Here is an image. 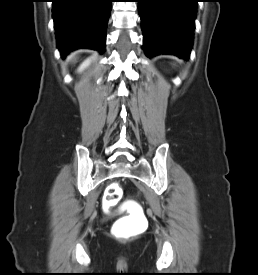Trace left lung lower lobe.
Listing matches in <instances>:
<instances>
[{"mask_svg":"<svg viewBox=\"0 0 258 275\" xmlns=\"http://www.w3.org/2000/svg\"><path fill=\"white\" fill-rule=\"evenodd\" d=\"M198 0H138L143 48L148 57L174 54L188 59Z\"/></svg>","mask_w":258,"mask_h":275,"instance_id":"1","label":"left lung lower lobe"}]
</instances>
